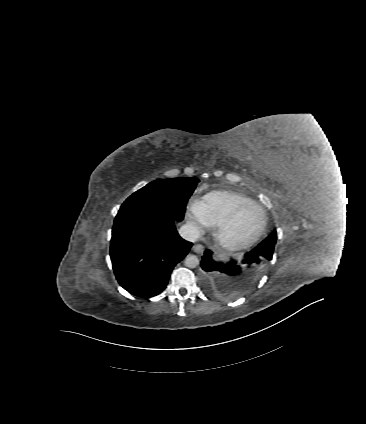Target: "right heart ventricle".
<instances>
[{"mask_svg": "<svg viewBox=\"0 0 366 424\" xmlns=\"http://www.w3.org/2000/svg\"><path fill=\"white\" fill-rule=\"evenodd\" d=\"M201 214L208 226H216L236 208L246 203H255L247 195L227 190H218L203 197Z\"/></svg>", "mask_w": 366, "mask_h": 424, "instance_id": "right-heart-ventricle-1", "label": "right heart ventricle"}]
</instances>
